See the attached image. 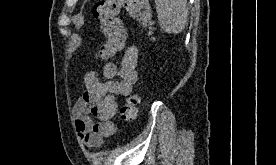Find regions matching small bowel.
<instances>
[{"mask_svg": "<svg viewBox=\"0 0 276 165\" xmlns=\"http://www.w3.org/2000/svg\"><path fill=\"white\" fill-rule=\"evenodd\" d=\"M137 61L138 49L130 46L124 52L119 66L113 62L103 66L105 82L100 81L95 71L86 74L85 91L73 108L77 133L86 146L98 147L115 132L113 119L117 109L116 97L131 94L137 82Z\"/></svg>", "mask_w": 276, "mask_h": 165, "instance_id": "c3829d8e", "label": "small bowel"}]
</instances>
